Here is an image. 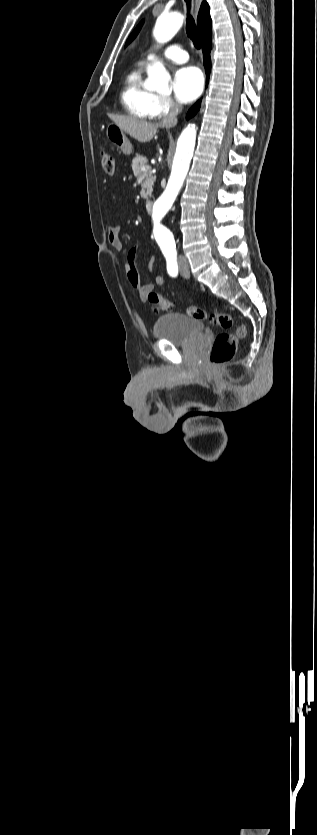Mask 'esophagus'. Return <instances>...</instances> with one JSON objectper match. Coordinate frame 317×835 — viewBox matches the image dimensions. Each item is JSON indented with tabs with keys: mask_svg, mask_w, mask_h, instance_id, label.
<instances>
[{
	"mask_svg": "<svg viewBox=\"0 0 317 835\" xmlns=\"http://www.w3.org/2000/svg\"><path fill=\"white\" fill-rule=\"evenodd\" d=\"M202 0H195V15L197 16Z\"/></svg>",
	"mask_w": 317,
	"mask_h": 835,
	"instance_id": "1",
	"label": "esophagus"
}]
</instances>
